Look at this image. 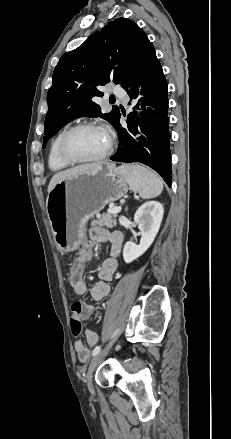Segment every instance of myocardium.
<instances>
[{"instance_id":"1","label":"myocardium","mask_w":231,"mask_h":439,"mask_svg":"<svg viewBox=\"0 0 231 439\" xmlns=\"http://www.w3.org/2000/svg\"><path fill=\"white\" fill-rule=\"evenodd\" d=\"M83 129H101L105 131L108 135V145L103 153L100 155L93 157V158H87V159H80L73 156L68 148V142L71 136ZM114 147V137L112 133L103 125L95 123V122H82L79 124H76L69 129L65 130V132L62 134L59 144H58V152L60 157L67 162L70 165H78V164H87V163H95L104 160L107 158L111 152L113 151Z\"/></svg>"}]
</instances>
